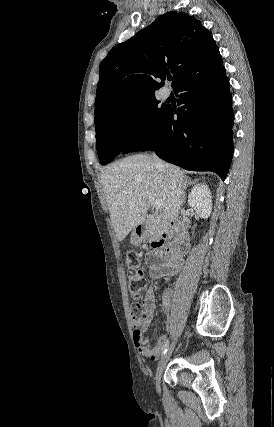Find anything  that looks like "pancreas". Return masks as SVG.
I'll list each match as a JSON object with an SVG mask.
<instances>
[{"label": "pancreas", "mask_w": 274, "mask_h": 427, "mask_svg": "<svg viewBox=\"0 0 274 427\" xmlns=\"http://www.w3.org/2000/svg\"><path fill=\"white\" fill-rule=\"evenodd\" d=\"M161 233L162 229L159 223H156V219H151V223L148 225L146 233L148 239H157Z\"/></svg>", "instance_id": "obj_1"}]
</instances>
